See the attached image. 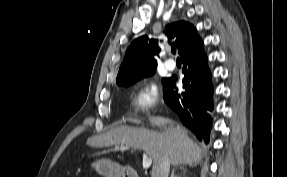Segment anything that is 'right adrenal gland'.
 <instances>
[{
    "label": "right adrenal gland",
    "mask_w": 287,
    "mask_h": 177,
    "mask_svg": "<svg viewBox=\"0 0 287 177\" xmlns=\"http://www.w3.org/2000/svg\"><path fill=\"white\" fill-rule=\"evenodd\" d=\"M177 168H178V167H175V168L172 169V172H171V176H170V177H178V176L175 175V171L177 170ZM179 168H180V170L185 171V169H184L183 167H179ZM179 177H180V176H179Z\"/></svg>",
    "instance_id": "obj_1"
}]
</instances>
